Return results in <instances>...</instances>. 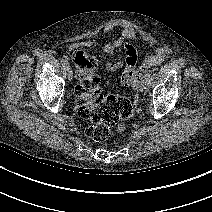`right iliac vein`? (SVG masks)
Instances as JSON below:
<instances>
[{
	"mask_svg": "<svg viewBox=\"0 0 212 212\" xmlns=\"http://www.w3.org/2000/svg\"><path fill=\"white\" fill-rule=\"evenodd\" d=\"M66 71H67V76H68V79L71 81L72 80V77H73V73H72V70L69 66L66 67Z\"/></svg>",
	"mask_w": 212,
	"mask_h": 212,
	"instance_id": "63e3f726",
	"label": "right iliac vein"
}]
</instances>
